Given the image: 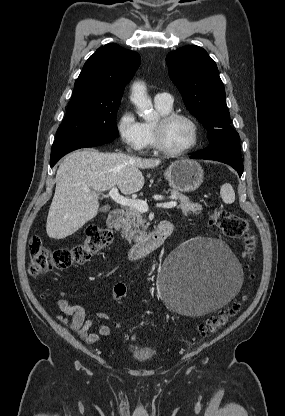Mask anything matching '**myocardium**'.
<instances>
[{"mask_svg":"<svg viewBox=\"0 0 285 416\" xmlns=\"http://www.w3.org/2000/svg\"><path fill=\"white\" fill-rule=\"evenodd\" d=\"M175 119H183L187 121L193 131V141L190 146L179 151L171 150L165 145L163 141V132L165 127ZM153 137L154 147L160 153L169 157H180L190 154L198 146L200 141V131L197 122L191 116L184 113L170 111L161 114L157 121L153 123Z\"/></svg>","mask_w":285,"mask_h":416,"instance_id":"myocardium-1","label":"myocardium"}]
</instances>
